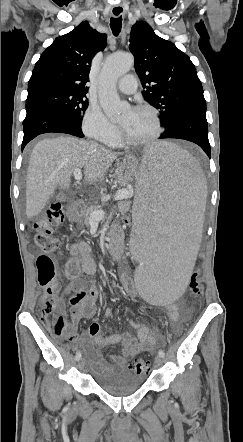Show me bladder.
Returning a JSON list of instances; mask_svg holds the SVG:
<instances>
[{"label":"bladder","instance_id":"bladder-1","mask_svg":"<svg viewBox=\"0 0 243 442\" xmlns=\"http://www.w3.org/2000/svg\"><path fill=\"white\" fill-rule=\"evenodd\" d=\"M92 378L95 384L106 393L124 397L137 391L143 384L135 372L119 369L111 363L92 368Z\"/></svg>","mask_w":243,"mask_h":442}]
</instances>
